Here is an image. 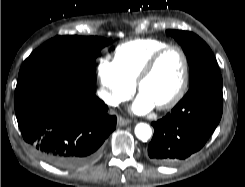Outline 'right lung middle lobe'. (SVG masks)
Wrapping results in <instances>:
<instances>
[{
    "instance_id": "1",
    "label": "right lung middle lobe",
    "mask_w": 245,
    "mask_h": 187,
    "mask_svg": "<svg viewBox=\"0 0 245 187\" xmlns=\"http://www.w3.org/2000/svg\"><path fill=\"white\" fill-rule=\"evenodd\" d=\"M110 43L111 40L96 36H57L31 53L24 61L18 77L35 71L51 70L96 83V57Z\"/></svg>"
}]
</instances>
